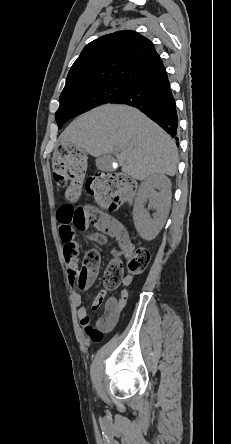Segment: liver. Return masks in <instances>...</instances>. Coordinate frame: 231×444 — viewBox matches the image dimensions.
<instances>
[{"mask_svg":"<svg viewBox=\"0 0 231 444\" xmlns=\"http://www.w3.org/2000/svg\"><path fill=\"white\" fill-rule=\"evenodd\" d=\"M93 157L115 154L122 171L137 180L174 176L178 150L172 138L136 108L106 104L77 117L60 136Z\"/></svg>","mask_w":231,"mask_h":444,"instance_id":"obj_1","label":"liver"}]
</instances>
